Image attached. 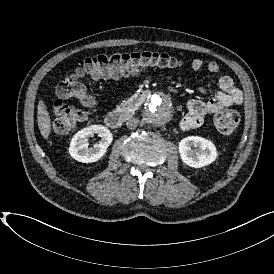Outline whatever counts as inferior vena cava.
I'll use <instances>...</instances> for the list:
<instances>
[{"label":"inferior vena cava","instance_id":"1","mask_svg":"<svg viewBox=\"0 0 274 274\" xmlns=\"http://www.w3.org/2000/svg\"><path fill=\"white\" fill-rule=\"evenodd\" d=\"M139 124V119L131 117L126 121V126L128 129H135Z\"/></svg>","mask_w":274,"mask_h":274}]
</instances>
